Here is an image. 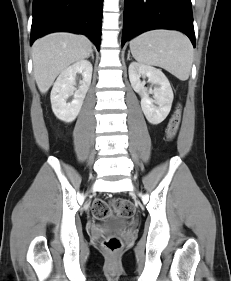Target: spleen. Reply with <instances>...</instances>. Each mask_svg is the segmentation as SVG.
I'll return each instance as SVG.
<instances>
[{
  "instance_id": "3e777b00",
  "label": "spleen",
  "mask_w": 231,
  "mask_h": 281,
  "mask_svg": "<svg viewBox=\"0 0 231 281\" xmlns=\"http://www.w3.org/2000/svg\"><path fill=\"white\" fill-rule=\"evenodd\" d=\"M130 50L142 64L161 67L181 81L189 78L193 46L188 37L178 31H148L130 41Z\"/></svg>"
}]
</instances>
